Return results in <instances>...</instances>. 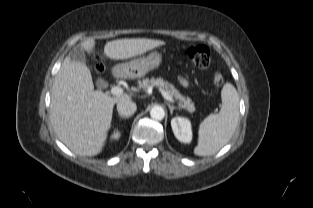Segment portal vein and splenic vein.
I'll use <instances>...</instances> for the list:
<instances>
[{
  "mask_svg": "<svg viewBox=\"0 0 313 208\" xmlns=\"http://www.w3.org/2000/svg\"><path fill=\"white\" fill-rule=\"evenodd\" d=\"M110 93H111L112 95L119 96V95H122V94H123V89H122L121 87H119V86H114V87L111 88ZM161 93H162L163 97H164L166 100H168L169 102H171V103H174V102H175L174 99H173V97L170 96V95H169L167 92H165L164 90H161Z\"/></svg>",
  "mask_w": 313,
  "mask_h": 208,
  "instance_id": "obj_1",
  "label": "portal vein and splenic vein"
}]
</instances>
